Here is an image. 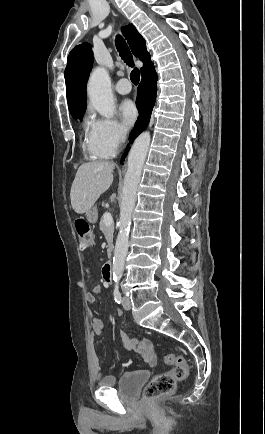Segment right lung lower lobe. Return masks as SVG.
<instances>
[{
    "instance_id": "1",
    "label": "right lung lower lobe",
    "mask_w": 265,
    "mask_h": 434,
    "mask_svg": "<svg viewBox=\"0 0 265 434\" xmlns=\"http://www.w3.org/2000/svg\"><path fill=\"white\" fill-rule=\"evenodd\" d=\"M141 75L142 80L138 87V96L136 100L139 116L136 126L130 135V142H132L134 138L146 128L155 104L157 75L150 58L144 61V66L141 68ZM128 148L129 147H127L126 152L124 153V157L127 154ZM122 161L123 159L121 162Z\"/></svg>"
}]
</instances>
